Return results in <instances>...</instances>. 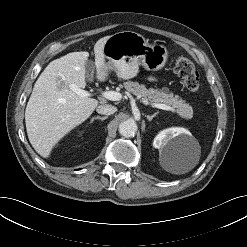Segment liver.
<instances>
[{
	"label": "liver",
	"instance_id": "obj_1",
	"mask_svg": "<svg viewBox=\"0 0 247 247\" xmlns=\"http://www.w3.org/2000/svg\"><path fill=\"white\" fill-rule=\"evenodd\" d=\"M110 36L94 45L97 76L104 79L107 66L104 45ZM89 53L72 52L51 61L34 84L25 110L29 141L43 158L49 157L53 147L73 128L87 120L98 105L90 97H80L71 88L86 86L85 63Z\"/></svg>",
	"mask_w": 247,
	"mask_h": 247
}]
</instances>
